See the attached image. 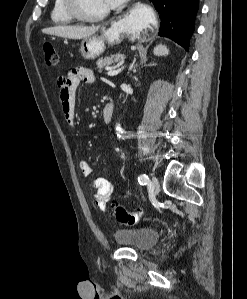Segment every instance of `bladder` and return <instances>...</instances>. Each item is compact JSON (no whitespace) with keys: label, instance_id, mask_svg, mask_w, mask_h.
Instances as JSON below:
<instances>
[{"label":"bladder","instance_id":"1","mask_svg":"<svg viewBox=\"0 0 247 299\" xmlns=\"http://www.w3.org/2000/svg\"><path fill=\"white\" fill-rule=\"evenodd\" d=\"M159 239V232L149 227L120 228L114 232L117 244L137 251L151 249Z\"/></svg>","mask_w":247,"mask_h":299}]
</instances>
